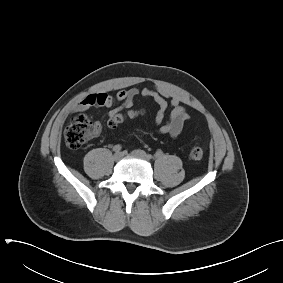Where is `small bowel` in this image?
Here are the masks:
<instances>
[{
	"label": "small bowel",
	"instance_id": "1",
	"mask_svg": "<svg viewBox=\"0 0 283 283\" xmlns=\"http://www.w3.org/2000/svg\"><path fill=\"white\" fill-rule=\"evenodd\" d=\"M138 96L151 98L157 104L158 110L155 115V124L158 126V133L167 134L171 137H177L181 133L184 123L189 119V114L178 96L159 86L123 89L118 91L115 96L107 93H92L77 102L73 106V111L82 112L90 107H106L110 108L107 113L110 119L124 110H131L134 100ZM117 103H120V105L115 107ZM169 108V116L165 119ZM101 129L102 124L96 122L94 134H99Z\"/></svg>",
	"mask_w": 283,
	"mask_h": 283
}]
</instances>
